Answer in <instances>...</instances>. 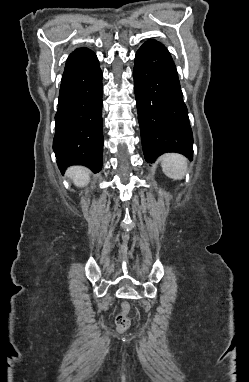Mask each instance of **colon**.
<instances>
[{
    "label": "colon",
    "instance_id": "obj_1",
    "mask_svg": "<svg viewBox=\"0 0 249 382\" xmlns=\"http://www.w3.org/2000/svg\"><path fill=\"white\" fill-rule=\"evenodd\" d=\"M129 305L127 303L122 304V309L117 315L115 323L118 330H126L130 326V319L128 317Z\"/></svg>",
    "mask_w": 249,
    "mask_h": 382
}]
</instances>
